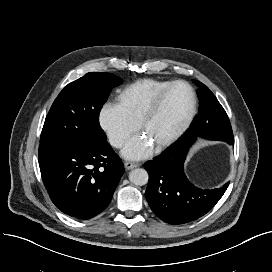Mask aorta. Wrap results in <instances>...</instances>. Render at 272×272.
<instances>
[{
    "mask_svg": "<svg viewBox=\"0 0 272 272\" xmlns=\"http://www.w3.org/2000/svg\"><path fill=\"white\" fill-rule=\"evenodd\" d=\"M129 180L136 186H143L148 182V173L142 168L134 169L129 173Z\"/></svg>",
    "mask_w": 272,
    "mask_h": 272,
    "instance_id": "aorta-1",
    "label": "aorta"
}]
</instances>
